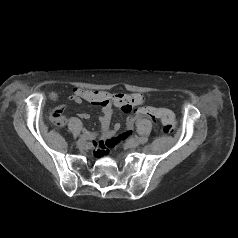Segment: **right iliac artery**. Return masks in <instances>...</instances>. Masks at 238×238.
Instances as JSON below:
<instances>
[{"label": "right iliac artery", "mask_w": 238, "mask_h": 238, "mask_svg": "<svg viewBox=\"0 0 238 238\" xmlns=\"http://www.w3.org/2000/svg\"><path fill=\"white\" fill-rule=\"evenodd\" d=\"M95 134L89 133V132H84L83 134L80 135L81 139H91L94 137Z\"/></svg>", "instance_id": "1"}]
</instances>
